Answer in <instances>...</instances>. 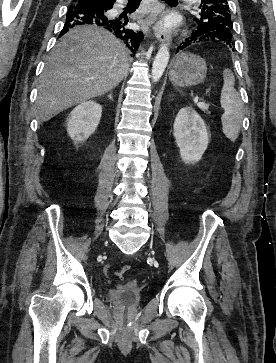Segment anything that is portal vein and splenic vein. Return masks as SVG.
I'll use <instances>...</instances> for the list:
<instances>
[{"label": "portal vein and splenic vein", "mask_w": 276, "mask_h": 363, "mask_svg": "<svg viewBox=\"0 0 276 363\" xmlns=\"http://www.w3.org/2000/svg\"><path fill=\"white\" fill-rule=\"evenodd\" d=\"M195 103L200 108H205L206 107V104L204 102H202V101L195 100Z\"/></svg>", "instance_id": "18ae733b"}]
</instances>
